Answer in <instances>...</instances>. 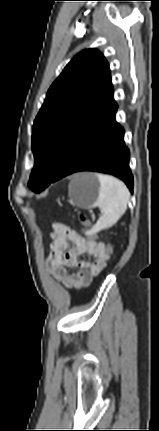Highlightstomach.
Returning a JSON list of instances; mask_svg holds the SVG:
<instances>
[{
  "label": "stomach",
  "instance_id": "obj_1",
  "mask_svg": "<svg viewBox=\"0 0 159 431\" xmlns=\"http://www.w3.org/2000/svg\"><path fill=\"white\" fill-rule=\"evenodd\" d=\"M100 182L95 173H78L73 176L69 196L72 202L80 208L96 205L99 198Z\"/></svg>",
  "mask_w": 159,
  "mask_h": 431
}]
</instances>
